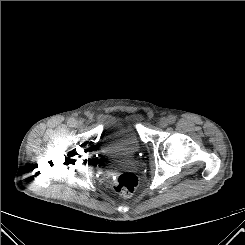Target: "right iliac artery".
Masks as SVG:
<instances>
[{"instance_id": "82829eb1", "label": "right iliac artery", "mask_w": 245, "mask_h": 245, "mask_svg": "<svg viewBox=\"0 0 245 245\" xmlns=\"http://www.w3.org/2000/svg\"><path fill=\"white\" fill-rule=\"evenodd\" d=\"M67 123L70 127H74L76 125V120L74 118H70Z\"/></svg>"}]
</instances>
